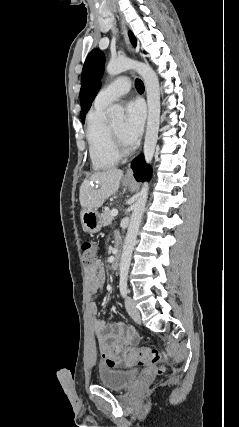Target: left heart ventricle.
<instances>
[{"label": "left heart ventricle", "instance_id": "obj_1", "mask_svg": "<svg viewBox=\"0 0 239 427\" xmlns=\"http://www.w3.org/2000/svg\"><path fill=\"white\" fill-rule=\"evenodd\" d=\"M122 127H123V123L122 122H118V123H115V124L112 125V128L114 129V131L116 132V134L119 136V138L124 143V145L127 146V144L122 139Z\"/></svg>", "mask_w": 239, "mask_h": 427}]
</instances>
